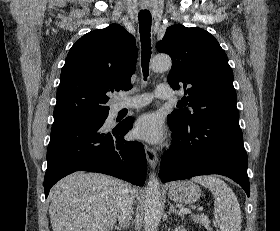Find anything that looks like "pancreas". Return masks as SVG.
<instances>
[{"instance_id":"cf45deb5","label":"pancreas","mask_w":280,"mask_h":231,"mask_svg":"<svg viewBox=\"0 0 280 231\" xmlns=\"http://www.w3.org/2000/svg\"><path fill=\"white\" fill-rule=\"evenodd\" d=\"M192 217L194 221H196V223H200V225H204L207 231H212V227L210 225L211 221L209 217H207V215H203V213H201V215H192Z\"/></svg>"}]
</instances>
